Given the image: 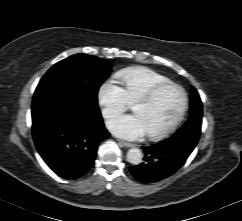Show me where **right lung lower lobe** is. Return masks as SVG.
I'll return each mask as SVG.
<instances>
[{
  "instance_id": "right-lung-lower-lobe-1",
  "label": "right lung lower lobe",
  "mask_w": 242,
  "mask_h": 221,
  "mask_svg": "<svg viewBox=\"0 0 242 221\" xmlns=\"http://www.w3.org/2000/svg\"><path fill=\"white\" fill-rule=\"evenodd\" d=\"M32 135L57 175L77 179L91 169L98 145L110 134L98 108L85 110L69 97L32 108Z\"/></svg>"
}]
</instances>
